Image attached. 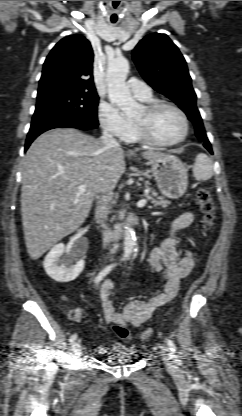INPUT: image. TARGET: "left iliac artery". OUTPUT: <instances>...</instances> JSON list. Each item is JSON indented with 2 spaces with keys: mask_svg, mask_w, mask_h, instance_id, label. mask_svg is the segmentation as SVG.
I'll use <instances>...</instances> for the list:
<instances>
[{
  "mask_svg": "<svg viewBox=\"0 0 242 416\" xmlns=\"http://www.w3.org/2000/svg\"><path fill=\"white\" fill-rule=\"evenodd\" d=\"M167 345L169 346L170 350L172 351V353H176V345L174 344V342L170 339H167ZM180 360H176V362H179Z\"/></svg>",
  "mask_w": 242,
  "mask_h": 416,
  "instance_id": "obj_1",
  "label": "left iliac artery"
}]
</instances>
